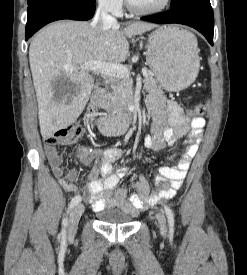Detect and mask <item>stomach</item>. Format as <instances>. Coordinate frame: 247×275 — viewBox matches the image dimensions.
Returning a JSON list of instances; mask_svg holds the SVG:
<instances>
[{
    "label": "stomach",
    "instance_id": "0dacf381",
    "mask_svg": "<svg viewBox=\"0 0 247 275\" xmlns=\"http://www.w3.org/2000/svg\"><path fill=\"white\" fill-rule=\"evenodd\" d=\"M188 32L176 26H164L149 35L147 64L166 91L187 88L197 77L200 61L198 49Z\"/></svg>",
    "mask_w": 247,
    "mask_h": 275
}]
</instances>
